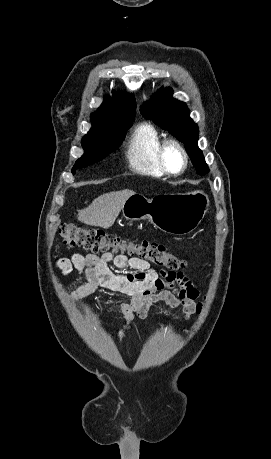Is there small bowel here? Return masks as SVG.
I'll return each mask as SVG.
<instances>
[{
	"label": "small bowel",
	"instance_id": "small-bowel-1",
	"mask_svg": "<svg viewBox=\"0 0 271 459\" xmlns=\"http://www.w3.org/2000/svg\"><path fill=\"white\" fill-rule=\"evenodd\" d=\"M109 263L121 270L114 271ZM58 267L67 275L73 269L87 279V283L75 289L70 297L82 298L98 288H105L129 296L121 305L125 323L117 333L122 340L131 329L132 321L144 319L152 303L162 301L171 308H181L185 318L196 311L195 301L199 291L192 280L182 272H158L138 257L105 252L95 254H73L58 261Z\"/></svg>",
	"mask_w": 271,
	"mask_h": 459
}]
</instances>
